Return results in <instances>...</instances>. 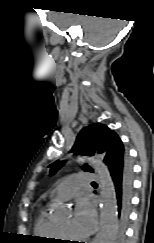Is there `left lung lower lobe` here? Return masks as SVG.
Returning a JSON list of instances; mask_svg holds the SVG:
<instances>
[{
    "mask_svg": "<svg viewBox=\"0 0 154 243\" xmlns=\"http://www.w3.org/2000/svg\"><path fill=\"white\" fill-rule=\"evenodd\" d=\"M105 163L110 171L115 191L117 210L116 242L123 243L131 207L132 166L126 151L123 158L116 155L114 158H107Z\"/></svg>",
    "mask_w": 154,
    "mask_h": 243,
    "instance_id": "0a47b994",
    "label": "left lung lower lobe"
}]
</instances>
